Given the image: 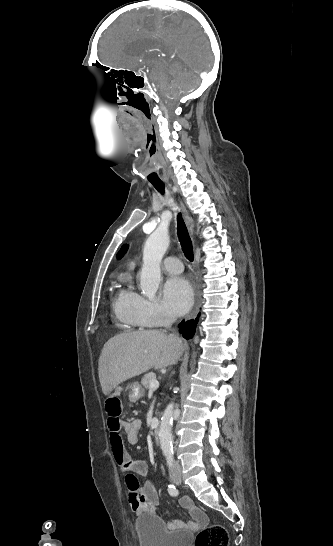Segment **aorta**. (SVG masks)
Returning a JSON list of instances; mask_svg holds the SVG:
<instances>
[{"instance_id": "obj_1", "label": "aorta", "mask_w": 333, "mask_h": 546, "mask_svg": "<svg viewBox=\"0 0 333 546\" xmlns=\"http://www.w3.org/2000/svg\"><path fill=\"white\" fill-rule=\"evenodd\" d=\"M169 246V236L165 229H156L147 239L143 249V265L140 276V288L149 299H153L161 280L160 264ZM174 414V402L167 405L164 410L160 428V448L165 455L173 453L172 423Z\"/></svg>"}]
</instances>
